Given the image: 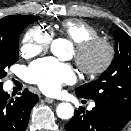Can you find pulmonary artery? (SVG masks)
<instances>
[{
    "label": "pulmonary artery",
    "mask_w": 131,
    "mask_h": 131,
    "mask_svg": "<svg viewBox=\"0 0 131 131\" xmlns=\"http://www.w3.org/2000/svg\"><path fill=\"white\" fill-rule=\"evenodd\" d=\"M95 106V103L90 104V108H93Z\"/></svg>",
    "instance_id": "pulmonary-artery-1"
}]
</instances>
